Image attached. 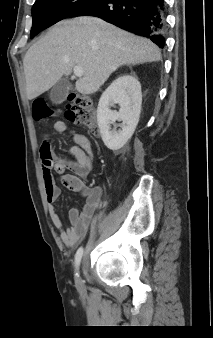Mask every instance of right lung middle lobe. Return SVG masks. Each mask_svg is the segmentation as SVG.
<instances>
[{
	"label": "right lung middle lobe",
	"instance_id": "obj_1",
	"mask_svg": "<svg viewBox=\"0 0 213 338\" xmlns=\"http://www.w3.org/2000/svg\"><path fill=\"white\" fill-rule=\"evenodd\" d=\"M94 0H36L32 7L31 38L41 30L70 17L76 10Z\"/></svg>",
	"mask_w": 213,
	"mask_h": 338
}]
</instances>
